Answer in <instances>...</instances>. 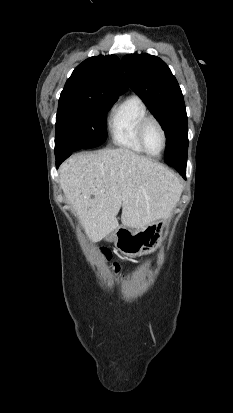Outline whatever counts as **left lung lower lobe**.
Wrapping results in <instances>:
<instances>
[{
    "mask_svg": "<svg viewBox=\"0 0 233 413\" xmlns=\"http://www.w3.org/2000/svg\"><path fill=\"white\" fill-rule=\"evenodd\" d=\"M174 167L177 169V171L182 175V177L184 178V179H186L185 178V175H186V164H180V163H177V164H174Z\"/></svg>",
    "mask_w": 233,
    "mask_h": 413,
    "instance_id": "0a47b994",
    "label": "left lung lower lobe"
}]
</instances>
